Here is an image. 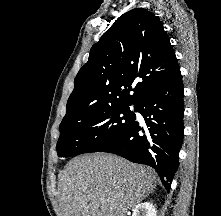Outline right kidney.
<instances>
[{
  "label": "right kidney",
  "mask_w": 221,
  "mask_h": 216,
  "mask_svg": "<svg viewBox=\"0 0 221 216\" xmlns=\"http://www.w3.org/2000/svg\"><path fill=\"white\" fill-rule=\"evenodd\" d=\"M132 216H157L156 208L151 203L138 204L134 210Z\"/></svg>",
  "instance_id": "right-kidney-1"
}]
</instances>
